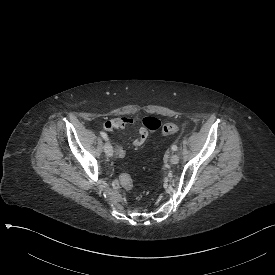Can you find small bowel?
Instances as JSON below:
<instances>
[{
	"label": "small bowel",
	"mask_w": 275,
	"mask_h": 275,
	"mask_svg": "<svg viewBox=\"0 0 275 275\" xmlns=\"http://www.w3.org/2000/svg\"><path fill=\"white\" fill-rule=\"evenodd\" d=\"M134 123V120L132 118H121L118 117L117 119H108L105 121L103 128L108 132L118 131L119 129H122L124 125H132ZM141 128L139 129V137L134 141V146L140 147L142 146L148 136V133L146 130H155L159 126V121L155 117L146 116L141 121ZM123 154L122 149H118L117 155L121 156Z\"/></svg>",
	"instance_id": "c3829d8e"
}]
</instances>
